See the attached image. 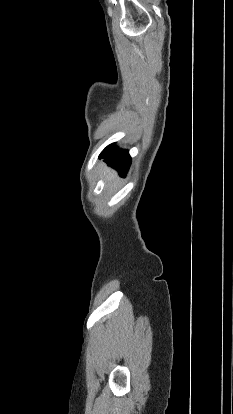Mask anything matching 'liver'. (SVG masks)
Masks as SVG:
<instances>
[{"label":"liver","mask_w":233,"mask_h":414,"mask_svg":"<svg viewBox=\"0 0 233 414\" xmlns=\"http://www.w3.org/2000/svg\"><path fill=\"white\" fill-rule=\"evenodd\" d=\"M104 176H106V178L108 180H111V179H114L116 177V172L114 170L110 169V168H107L104 171Z\"/></svg>","instance_id":"1"}]
</instances>
